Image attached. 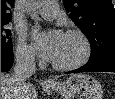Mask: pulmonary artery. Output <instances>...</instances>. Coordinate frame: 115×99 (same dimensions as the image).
<instances>
[{
	"label": "pulmonary artery",
	"instance_id": "e3ab8cb5",
	"mask_svg": "<svg viewBox=\"0 0 115 99\" xmlns=\"http://www.w3.org/2000/svg\"><path fill=\"white\" fill-rule=\"evenodd\" d=\"M39 14L45 19H54L59 15V7L53 1H46L40 8Z\"/></svg>",
	"mask_w": 115,
	"mask_h": 99
}]
</instances>
